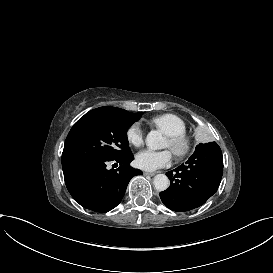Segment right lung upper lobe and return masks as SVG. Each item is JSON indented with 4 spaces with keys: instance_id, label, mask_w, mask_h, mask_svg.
Returning <instances> with one entry per match:
<instances>
[{
    "instance_id": "obj_1",
    "label": "right lung upper lobe",
    "mask_w": 273,
    "mask_h": 273,
    "mask_svg": "<svg viewBox=\"0 0 273 273\" xmlns=\"http://www.w3.org/2000/svg\"><path fill=\"white\" fill-rule=\"evenodd\" d=\"M105 108H108V109H111V110H115L117 112H119L120 114L128 117V118H131V119H138L141 112H138V113H130L126 110H123V109H120V108H116V107H105Z\"/></svg>"
}]
</instances>
